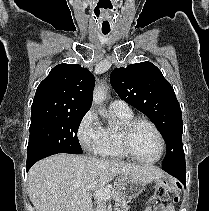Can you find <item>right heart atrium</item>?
Listing matches in <instances>:
<instances>
[{"instance_id": "1", "label": "right heart atrium", "mask_w": 209, "mask_h": 211, "mask_svg": "<svg viewBox=\"0 0 209 211\" xmlns=\"http://www.w3.org/2000/svg\"><path fill=\"white\" fill-rule=\"evenodd\" d=\"M77 137L87 151H95L102 138V126L93 110H88L81 118Z\"/></svg>"}]
</instances>
